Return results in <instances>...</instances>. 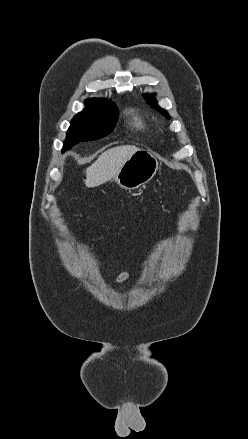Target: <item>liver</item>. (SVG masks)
Masks as SVG:
<instances>
[{"instance_id":"liver-1","label":"liver","mask_w":248,"mask_h":439,"mask_svg":"<svg viewBox=\"0 0 248 439\" xmlns=\"http://www.w3.org/2000/svg\"><path fill=\"white\" fill-rule=\"evenodd\" d=\"M139 148L133 145H122L103 152L98 159L86 169L85 185L89 188L99 186L111 180L122 165Z\"/></svg>"}]
</instances>
